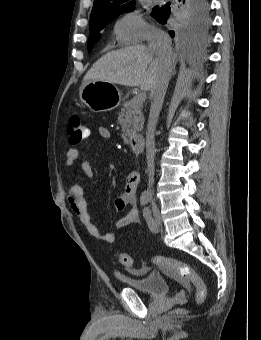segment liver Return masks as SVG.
I'll use <instances>...</instances> for the list:
<instances>
[{"mask_svg":"<svg viewBox=\"0 0 261 340\" xmlns=\"http://www.w3.org/2000/svg\"><path fill=\"white\" fill-rule=\"evenodd\" d=\"M175 64L172 54L159 58L144 45L129 46L111 51L98 59L86 73L83 85L90 80L105 81L141 90H152L160 75ZM82 85V86H83Z\"/></svg>","mask_w":261,"mask_h":340,"instance_id":"6515ba94","label":"liver"}]
</instances>
